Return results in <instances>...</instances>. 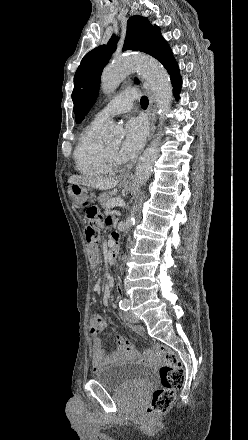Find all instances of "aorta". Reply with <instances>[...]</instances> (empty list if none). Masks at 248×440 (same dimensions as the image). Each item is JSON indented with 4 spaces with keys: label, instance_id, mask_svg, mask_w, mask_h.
I'll use <instances>...</instances> for the list:
<instances>
[{
    "label": "aorta",
    "instance_id": "762f6f07",
    "mask_svg": "<svg viewBox=\"0 0 248 440\" xmlns=\"http://www.w3.org/2000/svg\"><path fill=\"white\" fill-rule=\"evenodd\" d=\"M133 71H138L149 83L157 103L162 123L164 115L171 106L173 94L169 75L157 60L145 56H126L113 60L102 73V92L106 95L114 93L120 83ZM161 135L162 134H159V136L152 141L139 158L135 175L137 183L140 186L145 185L152 174L154 164L160 152ZM104 137L108 140H119L123 137L122 129L118 126L110 125L105 130ZM137 209V205L132 207L130 215L125 222L124 235L127 234L134 225Z\"/></svg>",
    "mask_w": 248,
    "mask_h": 440
}]
</instances>
